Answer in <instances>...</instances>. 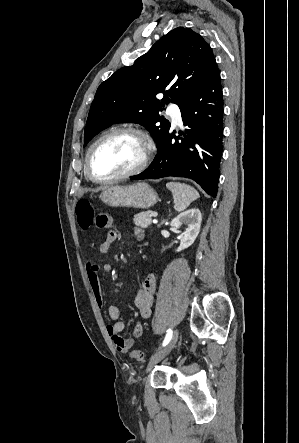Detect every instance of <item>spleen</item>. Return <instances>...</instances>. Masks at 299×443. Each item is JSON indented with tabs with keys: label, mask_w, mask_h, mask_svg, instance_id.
<instances>
[{
	"label": "spleen",
	"mask_w": 299,
	"mask_h": 443,
	"mask_svg": "<svg viewBox=\"0 0 299 443\" xmlns=\"http://www.w3.org/2000/svg\"><path fill=\"white\" fill-rule=\"evenodd\" d=\"M166 187L172 192L174 209L177 212L185 210L191 202L200 197L197 190L184 183L168 182Z\"/></svg>",
	"instance_id": "obj_1"
}]
</instances>
